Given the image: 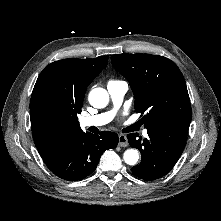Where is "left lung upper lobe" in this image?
<instances>
[{"label": "left lung upper lobe", "instance_id": "1", "mask_svg": "<svg viewBox=\"0 0 221 221\" xmlns=\"http://www.w3.org/2000/svg\"><path fill=\"white\" fill-rule=\"evenodd\" d=\"M114 68L125 76L135 97L136 112L145 127L189 128L192 112L186 83L170 59L150 54L112 55Z\"/></svg>", "mask_w": 221, "mask_h": 221}]
</instances>
